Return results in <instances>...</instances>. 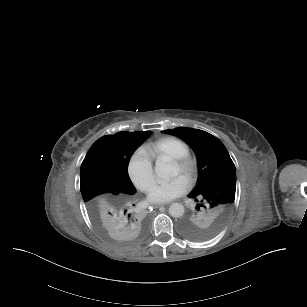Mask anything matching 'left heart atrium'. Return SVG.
Masks as SVG:
<instances>
[{"instance_id": "obj_1", "label": "left heart atrium", "mask_w": 307, "mask_h": 307, "mask_svg": "<svg viewBox=\"0 0 307 307\" xmlns=\"http://www.w3.org/2000/svg\"><path fill=\"white\" fill-rule=\"evenodd\" d=\"M188 183L181 176L169 181H153L146 188L147 198L152 203L163 204L181 196Z\"/></svg>"}]
</instances>
